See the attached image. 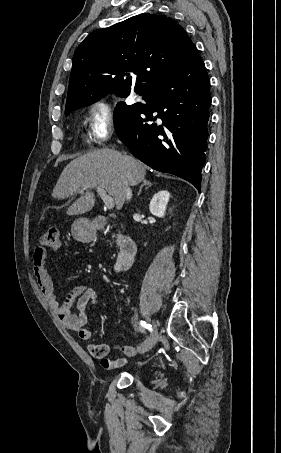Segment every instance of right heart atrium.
Here are the masks:
<instances>
[{
  "mask_svg": "<svg viewBox=\"0 0 281 453\" xmlns=\"http://www.w3.org/2000/svg\"><path fill=\"white\" fill-rule=\"evenodd\" d=\"M117 121L112 110L103 102L97 101L92 103L87 110V127L88 136L91 140L102 143L108 140L114 132ZM108 155L105 152H97L92 155L96 161L106 159ZM108 169L113 172L120 170L119 159L115 156H110Z\"/></svg>",
  "mask_w": 281,
  "mask_h": 453,
  "instance_id": "obj_1",
  "label": "right heart atrium"
}]
</instances>
